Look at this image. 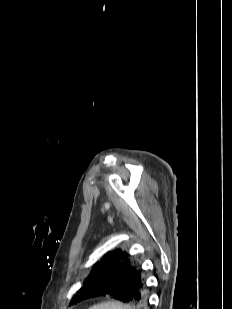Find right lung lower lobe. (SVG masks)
Listing matches in <instances>:
<instances>
[{"label": "right lung lower lobe", "mask_w": 232, "mask_h": 309, "mask_svg": "<svg viewBox=\"0 0 232 309\" xmlns=\"http://www.w3.org/2000/svg\"><path fill=\"white\" fill-rule=\"evenodd\" d=\"M120 274H131V278L117 280L113 284L90 287L86 299L109 295L124 303H129L134 309H147L148 292L141 271L130 263L120 265L117 270Z\"/></svg>", "instance_id": "right-lung-lower-lobe-1"}]
</instances>
